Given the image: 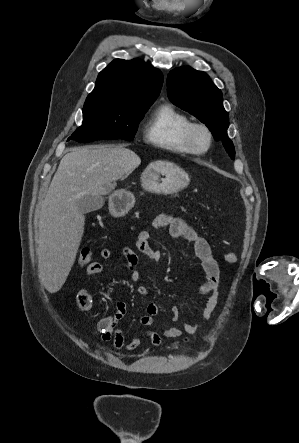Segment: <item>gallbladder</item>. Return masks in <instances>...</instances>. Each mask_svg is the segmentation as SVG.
<instances>
[{
	"instance_id": "obj_1",
	"label": "gallbladder",
	"mask_w": 299,
	"mask_h": 443,
	"mask_svg": "<svg viewBox=\"0 0 299 443\" xmlns=\"http://www.w3.org/2000/svg\"><path fill=\"white\" fill-rule=\"evenodd\" d=\"M104 205V198L97 195H84L77 201V209L80 213L86 214L101 209Z\"/></svg>"
}]
</instances>
